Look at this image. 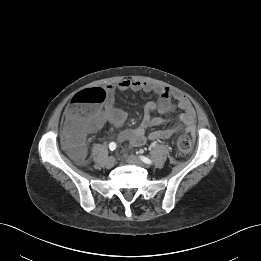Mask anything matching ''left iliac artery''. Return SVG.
<instances>
[{"instance_id":"44dca946","label":"left iliac artery","mask_w":261,"mask_h":261,"mask_svg":"<svg viewBox=\"0 0 261 261\" xmlns=\"http://www.w3.org/2000/svg\"><path fill=\"white\" fill-rule=\"evenodd\" d=\"M140 159H141L144 163H146V164H148V165H151V164H152V160L149 159L148 157L140 156Z\"/></svg>"}]
</instances>
